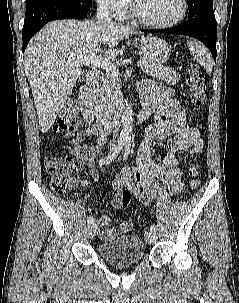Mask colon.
<instances>
[{
  "instance_id": "colon-1",
  "label": "colon",
  "mask_w": 239,
  "mask_h": 303,
  "mask_svg": "<svg viewBox=\"0 0 239 303\" xmlns=\"http://www.w3.org/2000/svg\"><path fill=\"white\" fill-rule=\"evenodd\" d=\"M187 86L190 101L195 111H198L206 102L205 77L196 65H191L187 71ZM79 123V111L75 101L66 103L57 123V130L70 136ZM44 169L50 176L51 189L60 195L71 193L77 183V174L80 162L71 156H50L44 162ZM190 186H197L198 169L191 165L188 168ZM121 206L127 207L131 202V193L123 191L119 196Z\"/></svg>"
}]
</instances>
